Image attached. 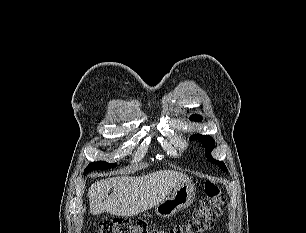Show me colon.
<instances>
[{
    "mask_svg": "<svg viewBox=\"0 0 306 233\" xmlns=\"http://www.w3.org/2000/svg\"><path fill=\"white\" fill-rule=\"evenodd\" d=\"M205 197L192 216L168 229L151 228L146 222L114 219L102 222L94 233H202L213 227L221 216L224 197L220 187L211 181L204 184Z\"/></svg>",
    "mask_w": 306,
    "mask_h": 233,
    "instance_id": "5ec220e1",
    "label": "colon"
}]
</instances>
